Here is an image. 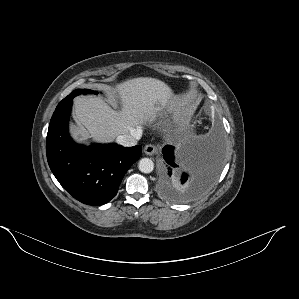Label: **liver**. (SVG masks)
Instances as JSON below:
<instances>
[{
    "label": "liver",
    "mask_w": 299,
    "mask_h": 299,
    "mask_svg": "<svg viewBox=\"0 0 299 299\" xmlns=\"http://www.w3.org/2000/svg\"><path fill=\"white\" fill-rule=\"evenodd\" d=\"M113 92L121 108L112 109L102 98L80 96L74 99V114L77 126L70 133L78 142L88 144L91 139L98 143H109L131 129L142 131L143 124L152 122L166 109L176 108L181 102L173 90L163 81L151 77L128 79L114 86Z\"/></svg>",
    "instance_id": "obj_1"
}]
</instances>
